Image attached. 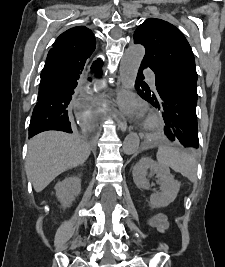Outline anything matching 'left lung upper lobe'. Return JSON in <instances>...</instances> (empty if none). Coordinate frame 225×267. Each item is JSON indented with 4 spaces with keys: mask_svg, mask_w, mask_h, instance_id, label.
<instances>
[{
    "mask_svg": "<svg viewBox=\"0 0 225 267\" xmlns=\"http://www.w3.org/2000/svg\"><path fill=\"white\" fill-rule=\"evenodd\" d=\"M134 43L144 45L146 53L142 62L156 74L153 94L173 77L186 75L197 80L191 47L181 31L169 22L157 18L145 20L134 33Z\"/></svg>",
    "mask_w": 225,
    "mask_h": 267,
    "instance_id": "1",
    "label": "left lung upper lobe"
}]
</instances>
